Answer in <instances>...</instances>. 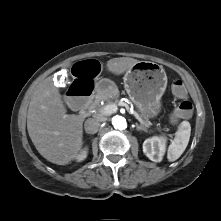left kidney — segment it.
<instances>
[{
	"mask_svg": "<svg viewBox=\"0 0 221 221\" xmlns=\"http://www.w3.org/2000/svg\"><path fill=\"white\" fill-rule=\"evenodd\" d=\"M166 150V139L164 137L154 136L146 139L143 143V152L154 162L162 161Z\"/></svg>",
	"mask_w": 221,
	"mask_h": 221,
	"instance_id": "obj_1",
	"label": "left kidney"
}]
</instances>
